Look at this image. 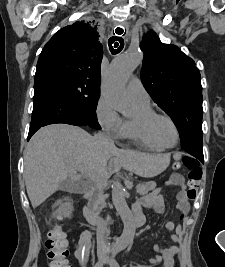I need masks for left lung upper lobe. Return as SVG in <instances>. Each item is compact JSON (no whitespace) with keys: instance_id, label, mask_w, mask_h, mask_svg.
<instances>
[{"instance_id":"obj_1","label":"left lung upper lobe","mask_w":225,"mask_h":267,"mask_svg":"<svg viewBox=\"0 0 225 267\" xmlns=\"http://www.w3.org/2000/svg\"><path fill=\"white\" fill-rule=\"evenodd\" d=\"M140 47L144 87L173 120L182 148L189 154H203L202 86L195 62L178 47L161 43L151 30Z\"/></svg>"}]
</instances>
